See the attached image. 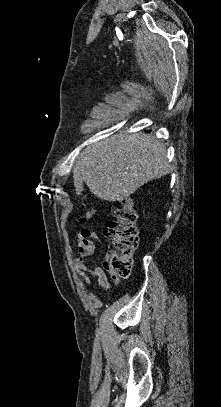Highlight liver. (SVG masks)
<instances>
[{
  "label": "liver",
  "mask_w": 221,
  "mask_h": 407,
  "mask_svg": "<svg viewBox=\"0 0 221 407\" xmlns=\"http://www.w3.org/2000/svg\"><path fill=\"white\" fill-rule=\"evenodd\" d=\"M170 170L166 147L153 135L120 133L84 149L74 164L73 178L85 182L101 200L121 202Z\"/></svg>",
  "instance_id": "1"
}]
</instances>
